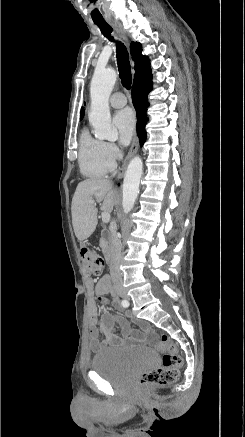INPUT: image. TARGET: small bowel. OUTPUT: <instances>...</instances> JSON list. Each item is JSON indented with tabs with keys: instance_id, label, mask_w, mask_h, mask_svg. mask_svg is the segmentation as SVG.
Segmentation results:
<instances>
[{
	"instance_id": "1",
	"label": "small bowel",
	"mask_w": 245,
	"mask_h": 437,
	"mask_svg": "<svg viewBox=\"0 0 245 437\" xmlns=\"http://www.w3.org/2000/svg\"><path fill=\"white\" fill-rule=\"evenodd\" d=\"M85 284L88 289L95 288V293L100 300L111 291L110 279L107 277H103L97 282L92 278H87ZM116 322L121 328L122 336L116 331ZM100 333L104 334L103 340H100ZM89 335L91 349L94 352L109 347L141 342L152 337V334L145 327L143 331L132 329L127 316L106 313L99 317L95 307L90 310L89 314Z\"/></svg>"
}]
</instances>
